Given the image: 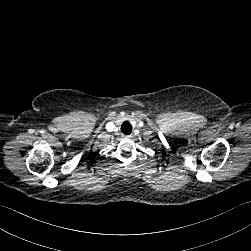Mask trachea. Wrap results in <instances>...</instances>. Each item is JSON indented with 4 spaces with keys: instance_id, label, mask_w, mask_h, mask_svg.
Instances as JSON below:
<instances>
[{
    "instance_id": "1",
    "label": "trachea",
    "mask_w": 251,
    "mask_h": 251,
    "mask_svg": "<svg viewBox=\"0 0 251 251\" xmlns=\"http://www.w3.org/2000/svg\"><path fill=\"white\" fill-rule=\"evenodd\" d=\"M122 133L129 135L132 132V126L129 122H124L121 126Z\"/></svg>"
}]
</instances>
